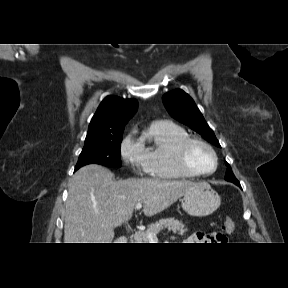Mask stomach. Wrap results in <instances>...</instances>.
I'll return each instance as SVG.
<instances>
[{
	"label": "stomach",
	"mask_w": 288,
	"mask_h": 288,
	"mask_svg": "<svg viewBox=\"0 0 288 288\" xmlns=\"http://www.w3.org/2000/svg\"><path fill=\"white\" fill-rule=\"evenodd\" d=\"M182 208L191 216L203 217L218 209L221 198L208 183H197L181 199Z\"/></svg>",
	"instance_id": "0dacf381"
}]
</instances>
